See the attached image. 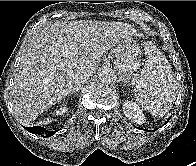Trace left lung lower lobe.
<instances>
[{
	"mask_svg": "<svg viewBox=\"0 0 196 166\" xmlns=\"http://www.w3.org/2000/svg\"><path fill=\"white\" fill-rule=\"evenodd\" d=\"M170 119V117L168 118V120ZM168 120L165 122V124L168 122Z\"/></svg>",
	"mask_w": 196,
	"mask_h": 166,
	"instance_id": "0a47b994",
	"label": "left lung lower lobe"
}]
</instances>
